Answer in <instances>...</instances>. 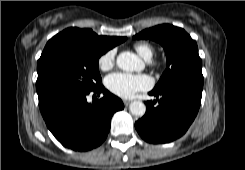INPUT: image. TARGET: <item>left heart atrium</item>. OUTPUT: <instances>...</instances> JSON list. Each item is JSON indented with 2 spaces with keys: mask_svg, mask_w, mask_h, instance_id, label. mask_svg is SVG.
<instances>
[{
  "mask_svg": "<svg viewBox=\"0 0 245 170\" xmlns=\"http://www.w3.org/2000/svg\"><path fill=\"white\" fill-rule=\"evenodd\" d=\"M106 86L114 94L130 98L138 91L151 88V79L144 74L112 73L106 77Z\"/></svg>",
  "mask_w": 245,
  "mask_h": 170,
  "instance_id": "obj_1",
  "label": "left heart atrium"
}]
</instances>
